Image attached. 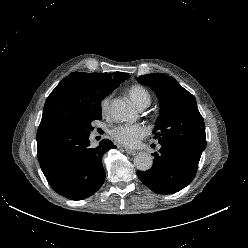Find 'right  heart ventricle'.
<instances>
[{"instance_id": "right-heart-ventricle-1", "label": "right heart ventricle", "mask_w": 248, "mask_h": 248, "mask_svg": "<svg viewBox=\"0 0 248 248\" xmlns=\"http://www.w3.org/2000/svg\"><path fill=\"white\" fill-rule=\"evenodd\" d=\"M131 100L136 106H148L151 103L152 97L150 92L142 85H133L128 90Z\"/></svg>"}]
</instances>
